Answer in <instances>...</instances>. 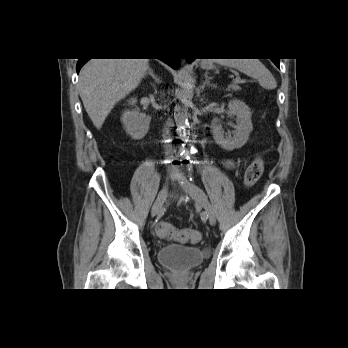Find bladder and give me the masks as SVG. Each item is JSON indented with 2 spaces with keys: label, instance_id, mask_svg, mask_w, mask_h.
Wrapping results in <instances>:
<instances>
[{
  "label": "bladder",
  "instance_id": "bladder-1",
  "mask_svg": "<svg viewBox=\"0 0 348 348\" xmlns=\"http://www.w3.org/2000/svg\"><path fill=\"white\" fill-rule=\"evenodd\" d=\"M208 251L200 246L172 244L158 250V261L177 270H188L200 264Z\"/></svg>",
  "mask_w": 348,
  "mask_h": 348
}]
</instances>
